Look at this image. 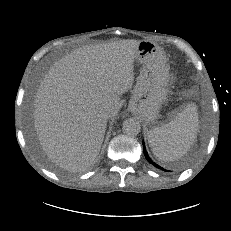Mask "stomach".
Here are the masks:
<instances>
[{
  "label": "stomach",
  "instance_id": "obj_1",
  "mask_svg": "<svg viewBox=\"0 0 231 231\" xmlns=\"http://www.w3.org/2000/svg\"><path fill=\"white\" fill-rule=\"evenodd\" d=\"M135 60L142 65L129 110L154 125L162 103L167 98L170 75L164 52L153 42L140 41Z\"/></svg>",
  "mask_w": 231,
  "mask_h": 231
}]
</instances>
